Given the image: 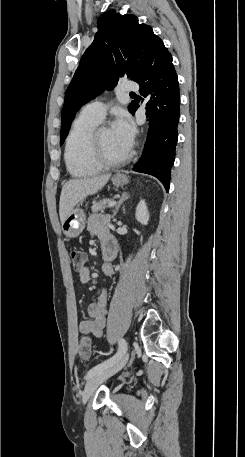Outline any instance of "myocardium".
Wrapping results in <instances>:
<instances>
[{
  "instance_id": "1",
  "label": "myocardium",
  "mask_w": 245,
  "mask_h": 457,
  "mask_svg": "<svg viewBox=\"0 0 245 457\" xmlns=\"http://www.w3.org/2000/svg\"><path fill=\"white\" fill-rule=\"evenodd\" d=\"M109 126L106 124H98L92 129L89 130L85 139H84V148L82 152V159L83 161L88 164L89 166L93 167L94 169H102V168H109L112 166H116L120 163L127 161L131 155V148L129 147L128 150L120 157L116 158H103V159H96L93 156V144L98 136V134L105 129H108Z\"/></svg>"
}]
</instances>
